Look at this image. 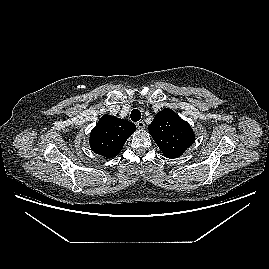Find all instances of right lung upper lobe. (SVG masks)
Instances as JSON below:
<instances>
[{"label":"right lung upper lobe","instance_id":"1","mask_svg":"<svg viewBox=\"0 0 269 269\" xmlns=\"http://www.w3.org/2000/svg\"><path fill=\"white\" fill-rule=\"evenodd\" d=\"M135 130L136 126L132 122L105 114L91 131V149L103 157L113 158Z\"/></svg>","mask_w":269,"mask_h":269}]
</instances>
